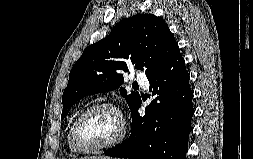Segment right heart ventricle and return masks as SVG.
I'll return each mask as SVG.
<instances>
[{"instance_id": "1", "label": "right heart ventricle", "mask_w": 253, "mask_h": 159, "mask_svg": "<svg viewBox=\"0 0 253 159\" xmlns=\"http://www.w3.org/2000/svg\"><path fill=\"white\" fill-rule=\"evenodd\" d=\"M82 111L76 113L70 123H69V126L67 128V132H66V142H67V145H68V148L71 150V151H75L76 149L73 147L72 145V128H73V125L77 119V117L79 116V114L81 113Z\"/></svg>"}]
</instances>
